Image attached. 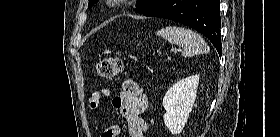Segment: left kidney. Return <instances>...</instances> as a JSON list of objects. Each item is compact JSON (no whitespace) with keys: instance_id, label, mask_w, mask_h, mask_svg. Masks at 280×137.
<instances>
[{"instance_id":"obj_1","label":"left kidney","mask_w":280,"mask_h":137,"mask_svg":"<svg viewBox=\"0 0 280 137\" xmlns=\"http://www.w3.org/2000/svg\"><path fill=\"white\" fill-rule=\"evenodd\" d=\"M199 75H192L177 81L163 98L166 113L163 116L166 127L172 134H179L187 123L194 105Z\"/></svg>"}]
</instances>
